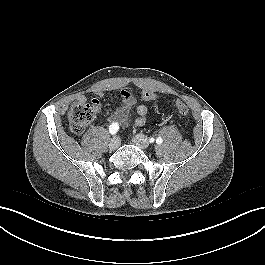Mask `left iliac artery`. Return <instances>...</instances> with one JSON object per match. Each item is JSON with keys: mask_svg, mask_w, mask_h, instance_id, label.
Instances as JSON below:
<instances>
[{"mask_svg": "<svg viewBox=\"0 0 265 265\" xmlns=\"http://www.w3.org/2000/svg\"><path fill=\"white\" fill-rule=\"evenodd\" d=\"M163 142V139L161 138V137H158L157 139H156V143L157 144H161Z\"/></svg>", "mask_w": 265, "mask_h": 265, "instance_id": "left-iliac-artery-1", "label": "left iliac artery"}]
</instances>
